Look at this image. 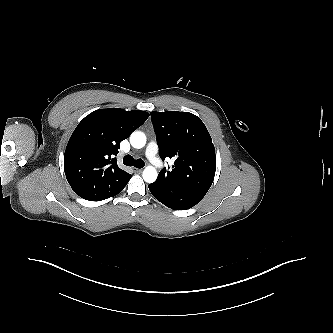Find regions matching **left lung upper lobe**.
<instances>
[{"instance_id":"left-lung-upper-lobe-1","label":"left lung upper lobe","mask_w":333,"mask_h":333,"mask_svg":"<svg viewBox=\"0 0 333 333\" xmlns=\"http://www.w3.org/2000/svg\"><path fill=\"white\" fill-rule=\"evenodd\" d=\"M159 155L174 158L172 170L162 169L159 179L175 186L207 192L216 171L215 148L201 119L189 112H151Z\"/></svg>"}]
</instances>
